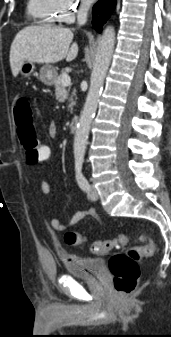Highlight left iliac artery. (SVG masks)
I'll return each mask as SVG.
<instances>
[{"label":"left iliac artery","instance_id":"1","mask_svg":"<svg viewBox=\"0 0 171 337\" xmlns=\"http://www.w3.org/2000/svg\"><path fill=\"white\" fill-rule=\"evenodd\" d=\"M84 162V157L82 155L75 157V171H76V179L80 186V188L84 191L89 190V184L87 179L82 173V166Z\"/></svg>","mask_w":171,"mask_h":337}]
</instances>
